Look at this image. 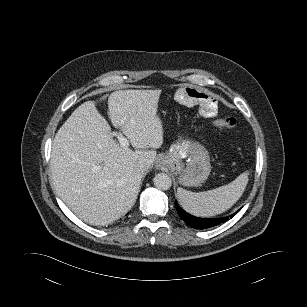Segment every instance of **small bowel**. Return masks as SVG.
Instances as JSON below:
<instances>
[{
  "mask_svg": "<svg viewBox=\"0 0 307 307\" xmlns=\"http://www.w3.org/2000/svg\"><path fill=\"white\" fill-rule=\"evenodd\" d=\"M177 100L185 105L198 104L202 117H213L217 113V103L209 95L193 88H183L177 93Z\"/></svg>",
  "mask_w": 307,
  "mask_h": 307,
  "instance_id": "c3829d8e",
  "label": "small bowel"
}]
</instances>
